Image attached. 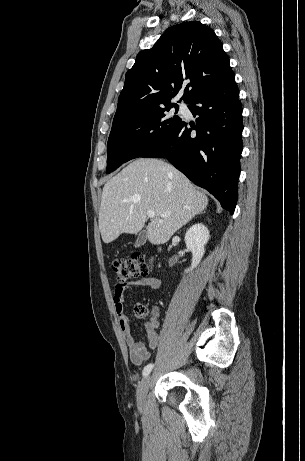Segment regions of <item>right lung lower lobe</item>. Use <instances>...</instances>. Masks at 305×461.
<instances>
[{
  "label": "right lung lower lobe",
  "instance_id": "right-lung-lower-lobe-1",
  "mask_svg": "<svg viewBox=\"0 0 305 461\" xmlns=\"http://www.w3.org/2000/svg\"><path fill=\"white\" fill-rule=\"evenodd\" d=\"M189 103L198 104L188 107L194 116H199L196 125L182 121L163 144L140 157L167 158L233 214L238 197L243 130L234 73Z\"/></svg>",
  "mask_w": 305,
  "mask_h": 461
}]
</instances>
